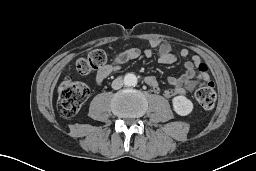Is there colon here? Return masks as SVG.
<instances>
[{"mask_svg": "<svg viewBox=\"0 0 256 171\" xmlns=\"http://www.w3.org/2000/svg\"><path fill=\"white\" fill-rule=\"evenodd\" d=\"M106 62V55L100 49H93L76 63V69L80 74H88L92 70L99 69ZM199 73H207V66L202 63L198 67ZM90 87L82 82L74 80L72 77L64 78L58 88V107L62 115L70 117L75 115L83 102L90 96ZM195 97L199 104L205 109H211L216 103V92L214 84L207 81L200 87Z\"/></svg>", "mask_w": 256, "mask_h": 171, "instance_id": "colon-1", "label": "colon"}]
</instances>
